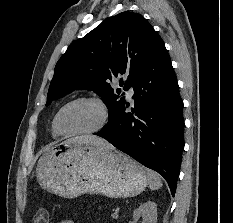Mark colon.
Returning a JSON list of instances; mask_svg holds the SVG:
<instances>
[{"label":"colon","mask_w":233,"mask_h":223,"mask_svg":"<svg viewBox=\"0 0 233 223\" xmlns=\"http://www.w3.org/2000/svg\"><path fill=\"white\" fill-rule=\"evenodd\" d=\"M47 212L44 209H40L37 214L36 223H45L46 222Z\"/></svg>","instance_id":"1"}]
</instances>
